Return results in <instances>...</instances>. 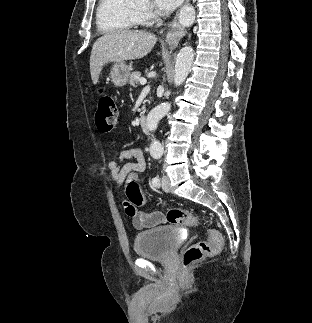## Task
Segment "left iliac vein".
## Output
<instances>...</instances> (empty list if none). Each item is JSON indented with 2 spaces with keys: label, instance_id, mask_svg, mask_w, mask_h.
<instances>
[{
  "label": "left iliac vein",
  "instance_id": "4c4485c4",
  "mask_svg": "<svg viewBox=\"0 0 312 323\" xmlns=\"http://www.w3.org/2000/svg\"><path fill=\"white\" fill-rule=\"evenodd\" d=\"M162 189L166 192H169L171 190L169 178L168 176L162 177V183H161Z\"/></svg>",
  "mask_w": 312,
  "mask_h": 323
}]
</instances>
